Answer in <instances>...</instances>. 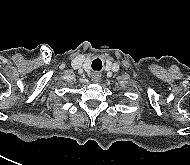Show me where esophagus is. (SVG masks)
<instances>
[{
  "mask_svg": "<svg viewBox=\"0 0 190 165\" xmlns=\"http://www.w3.org/2000/svg\"><path fill=\"white\" fill-rule=\"evenodd\" d=\"M100 79H101V75H100L99 73H94V74L92 75V80H93L94 82L98 83V82L100 81Z\"/></svg>",
  "mask_w": 190,
  "mask_h": 165,
  "instance_id": "obj_1",
  "label": "esophagus"
}]
</instances>
